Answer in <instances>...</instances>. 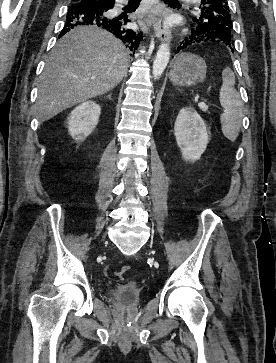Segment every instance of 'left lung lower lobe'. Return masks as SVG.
Instances as JSON below:
<instances>
[{"mask_svg":"<svg viewBox=\"0 0 276 363\" xmlns=\"http://www.w3.org/2000/svg\"><path fill=\"white\" fill-rule=\"evenodd\" d=\"M208 40H212V36L210 34L204 33L203 29L194 27L191 34L180 43L177 51L182 50L192 44L201 43Z\"/></svg>","mask_w":276,"mask_h":363,"instance_id":"obj_1","label":"left lung lower lobe"}]
</instances>
